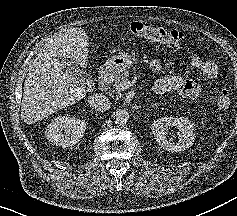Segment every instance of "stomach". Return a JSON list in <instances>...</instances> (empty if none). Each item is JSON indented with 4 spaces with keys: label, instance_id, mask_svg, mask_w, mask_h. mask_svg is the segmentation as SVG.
Returning a JSON list of instances; mask_svg holds the SVG:
<instances>
[{
    "label": "stomach",
    "instance_id": "1",
    "mask_svg": "<svg viewBox=\"0 0 237 216\" xmlns=\"http://www.w3.org/2000/svg\"><path fill=\"white\" fill-rule=\"evenodd\" d=\"M132 60L133 58L128 52L120 53V55L110 58L106 62V66L109 70L122 72L133 65Z\"/></svg>",
    "mask_w": 237,
    "mask_h": 216
}]
</instances>
